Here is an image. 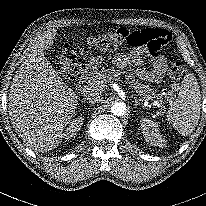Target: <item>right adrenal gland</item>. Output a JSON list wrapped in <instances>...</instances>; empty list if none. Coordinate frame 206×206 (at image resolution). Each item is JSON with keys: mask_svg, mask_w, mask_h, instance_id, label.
Segmentation results:
<instances>
[{"mask_svg": "<svg viewBox=\"0 0 206 206\" xmlns=\"http://www.w3.org/2000/svg\"><path fill=\"white\" fill-rule=\"evenodd\" d=\"M82 101V103H85V101H89L88 99H86V98H84L83 100H81ZM90 102V101H89ZM88 103V102H87ZM90 103H92V106H93V104H94V102H90Z\"/></svg>", "mask_w": 206, "mask_h": 206, "instance_id": "2a0ac1e0", "label": "right adrenal gland"}]
</instances>
